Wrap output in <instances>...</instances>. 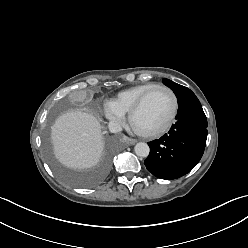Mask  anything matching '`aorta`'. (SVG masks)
I'll return each instance as SVG.
<instances>
[{
    "label": "aorta",
    "mask_w": 248,
    "mask_h": 248,
    "mask_svg": "<svg viewBox=\"0 0 248 248\" xmlns=\"http://www.w3.org/2000/svg\"><path fill=\"white\" fill-rule=\"evenodd\" d=\"M134 151L139 157H147L150 152L149 146L144 142H139L135 145Z\"/></svg>",
    "instance_id": "1"
}]
</instances>
